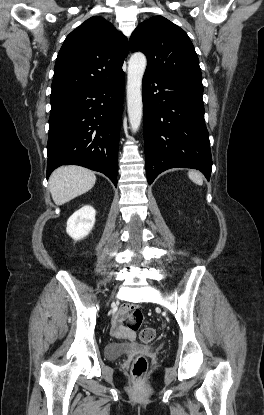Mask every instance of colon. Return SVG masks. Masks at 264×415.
<instances>
[{"instance_id": "colon-1", "label": "colon", "mask_w": 264, "mask_h": 415, "mask_svg": "<svg viewBox=\"0 0 264 415\" xmlns=\"http://www.w3.org/2000/svg\"><path fill=\"white\" fill-rule=\"evenodd\" d=\"M131 316L128 320V325L136 329L143 320V312L139 307H130ZM155 330L153 328H144L140 333V339L144 343H150L155 338ZM148 369V361L144 356H138L133 363V375L137 381H141Z\"/></svg>"}]
</instances>
